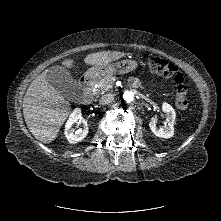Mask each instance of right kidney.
<instances>
[{"label":"right kidney","instance_id":"ca27d5eb","mask_svg":"<svg viewBox=\"0 0 221 221\" xmlns=\"http://www.w3.org/2000/svg\"><path fill=\"white\" fill-rule=\"evenodd\" d=\"M79 119H81V110L79 108H76L70 115V118L65 125V137L71 144L78 143L79 141L83 140L88 134V126L86 123L84 124L83 128H80L78 130H75L73 128V125L75 123H78Z\"/></svg>","mask_w":221,"mask_h":221}]
</instances>
